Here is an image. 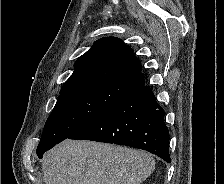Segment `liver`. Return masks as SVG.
<instances>
[{"mask_svg":"<svg viewBox=\"0 0 224 184\" xmlns=\"http://www.w3.org/2000/svg\"><path fill=\"white\" fill-rule=\"evenodd\" d=\"M154 169L145 151L92 141L65 140L42 161L45 184H141Z\"/></svg>","mask_w":224,"mask_h":184,"instance_id":"6515ba94","label":"liver"}]
</instances>
